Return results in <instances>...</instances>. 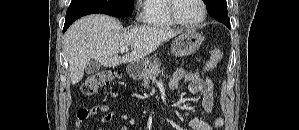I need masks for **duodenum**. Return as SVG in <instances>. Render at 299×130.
<instances>
[{
    "mask_svg": "<svg viewBox=\"0 0 299 130\" xmlns=\"http://www.w3.org/2000/svg\"><path fill=\"white\" fill-rule=\"evenodd\" d=\"M127 73L130 77H134L136 75V72H135L134 68H132V67H129L127 69Z\"/></svg>",
    "mask_w": 299,
    "mask_h": 130,
    "instance_id": "obj_1",
    "label": "duodenum"
}]
</instances>
